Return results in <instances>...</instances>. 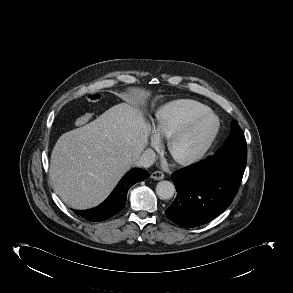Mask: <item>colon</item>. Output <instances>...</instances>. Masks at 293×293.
Instances as JSON below:
<instances>
[{
	"instance_id": "5ec220e1",
	"label": "colon",
	"mask_w": 293,
	"mask_h": 293,
	"mask_svg": "<svg viewBox=\"0 0 293 293\" xmlns=\"http://www.w3.org/2000/svg\"><path fill=\"white\" fill-rule=\"evenodd\" d=\"M86 99L88 102L90 103H97L101 100V95L99 93H89L86 96ZM93 118V114L92 113H85L81 116H79L78 118H76L75 120V124L77 126H82L85 125L86 123H88L91 119Z\"/></svg>"
}]
</instances>
